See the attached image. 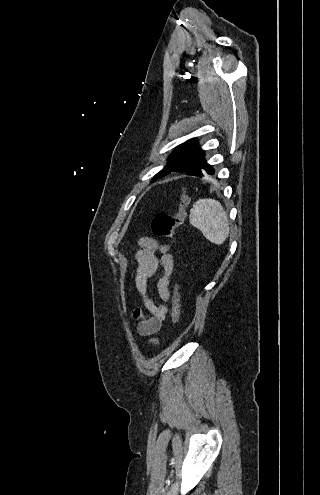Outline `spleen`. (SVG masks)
Returning <instances> with one entry per match:
<instances>
[{"mask_svg":"<svg viewBox=\"0 0 320 495\" xmlns=\"http://www.w3.org/2000/svg\"><path fill=\"white\" fill-rule=\"evenodd\" d=\"M190 223L210 242L221 245L229 236L228 217L215 199H199L190 212Z\"/></svg>","mask_w":320,"mask_h":495,"instance_id":"spleen-1","label":"spleen"}]
</instances>
